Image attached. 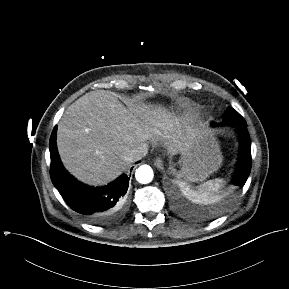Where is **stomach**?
<instances>
[{
	"label": "stomach",
	"instance_id": "0dacf381",
	"mask_svg": "<svg viewBox=\"0 0 289 289\" xmlns=\"http://www.w3.org/2000/svg\"><path fill=\"white\" fill-rule=\"evenodd\" d=\"M180 162L192 177L205 178L217 171L222 155L216 138L204 131L191 133L181 148Z\"/></svg>",
	"mask_w": 289,
	"mask_h": 289
}]
</instances>
